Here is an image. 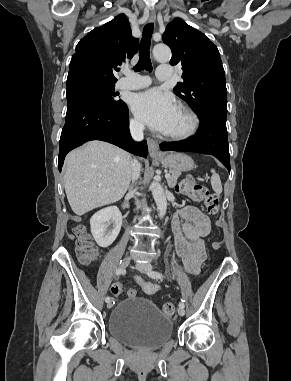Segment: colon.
Here are the masks:
<instances>
[{"label":"colon","mask_w":291,"mask_h":381,"mask_svg":"<svg viewBox=\"0 0 291 381\" xmlns=\"http://www.w3.org/2000/svg\"><path fill=\"white\" fill-rule=\"evenodd\" d=\"M178 191L180 194L186 196L194 202L203 203L209 214L216 215L218 213V197L215 194L210 193L205 186L198 184L191 179H184L179 182ZM74 233L77 238L76 253L79 261L83 264H90L94 262L98 257V252L85 227L77 226L74 229ZM213 245L216 247L217 243H214ZM112 291L115 295H120L123 289L119 285H114ZM126 294L128 297L132 298L136 296V291L129 289ZM162 312L168 317L173 316L175 313V305L171 302L165 303L162 307Z\"/></svg>","instance_id":"1"}]
</instances>
